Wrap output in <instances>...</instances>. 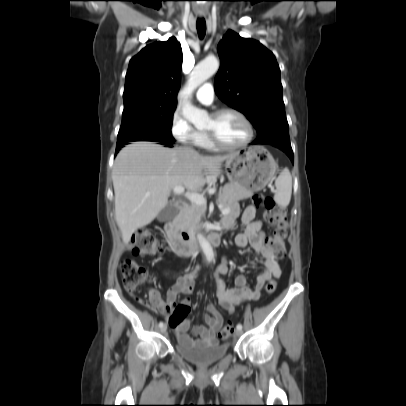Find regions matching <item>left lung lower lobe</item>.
<instances>
[{"label": "left lung lower lobe", "instance_id": "1", "mask_svg": "<svg viewBox=\"0 0 406 406\" xmlns=\"http://www.w3.org/2000/svg\"><path fill=\"white\" fill-rule=\"evenodd\" d=\"M251 144H267V145H273L274 147H277L284 151L291 159L292 162H294L293 158V152L292 148L290 145V142H284V141H279L275 139H261V140H255Z\"/></svg>", "mask_w": 406, "mask_h": 406}]
</instances>
